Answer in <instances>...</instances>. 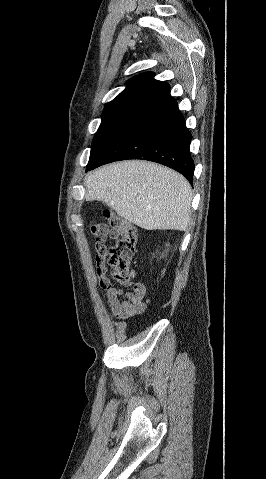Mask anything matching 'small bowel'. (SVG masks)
<instances>
[{
  "instance_id": "obj_1",
  "label": "small bowel",
  "mask_w": 266,
  "mask_h": 479,
  "mask_svg": "<svg viewBox=\"0 0 266 479\" xmlns=\"http://www.w3.org/2000/svg\"><path fill=\"white\" fill-rule=\"evenodd\" d=\"M96 261L100 284L106 290L107 303L111 314L119 320H127L142 313L146 307L144 284L133 283L131 290L114 287L105 274L103 257H97Z\"/></svg>"
}]
</instances>
